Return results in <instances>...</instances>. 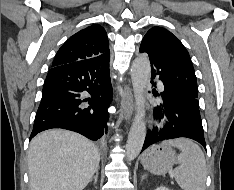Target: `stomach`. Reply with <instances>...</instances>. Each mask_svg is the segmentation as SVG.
<instances>
[{
  "label": "stomach",
  "instance_id": "1",
  "mask_svg": "<svg viewBox=\"0 0 234 190\" xmlns=\"http://www.w3.org/2000/svg\"><path fill=\"white\" fill-rule=\"evenodd\" d=\"M177 156L175 150L167 145H155L146 150L141 163L145 169L156 175H164L176 163Z\"/></svg>",
  "mask_w": 234,
  "mask_h": 190
}]
</instances>
